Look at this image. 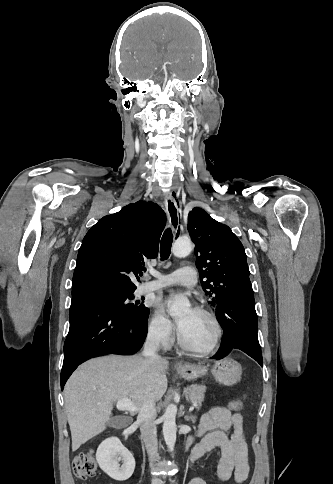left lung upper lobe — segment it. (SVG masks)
Returning <instances> with one entry per match:
<instances>
[{"mask_svg":"<svg viewBox=\"0 0 333 484\" xmlns=\"http://www.w3.org/2000/svg\"><path fill=\"white\" fill-rule=\"evenodd\" d=\"M188 231L196 244L202 288L216 307L229 286L249 279L244 247L227 225L217 222L201 208L189 212Z\"/></svg>","mask_w":333,"mask_h":484,"instance_id":"5c2ea615","label":"left lung upper lobe"}]
</instances>
